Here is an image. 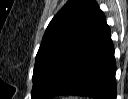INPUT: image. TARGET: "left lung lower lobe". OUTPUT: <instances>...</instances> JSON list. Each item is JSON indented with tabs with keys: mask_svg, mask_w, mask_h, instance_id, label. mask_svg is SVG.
Listing matches in <instances>:
<instances>
[{
	"mask_svg": "<svg viewBox=\"0 0 128 99\" xmlns=\"http://www.w3.org/2000/svg\"><path fill=\"white\" fill-rule=\"evenodd\" d=\"M116 63L105 17L86 42L59 68L44 99L59 95L116 99Z\"/></svg>",
	"mask_w": 128,
	"mask_h": 99,
	"instance_id": "left-lung-lower-lobe-1",
	"label": "left lung lower lobe"
}]
</instances>
